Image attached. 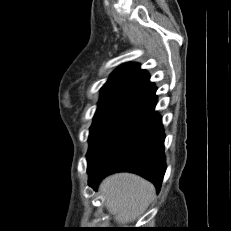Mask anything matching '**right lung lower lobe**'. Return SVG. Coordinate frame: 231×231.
<instances>
[{"instance_id":"98d812e1","label":"right lung lower lobe","mask_w":231,"mask_h":231,"mask_svg":"<svg viewBox=\"0 0 231 231\" xmlns=\"http://www.w3.org/2000/svg\"><path fill=\"white\" fill-rule=\"evenodd\" d=\"M155 105L117 132L88 161L89 185L115 172H132L151 181L157 191L166 170L164 129Z\"/></svg>"}]
</instances>
